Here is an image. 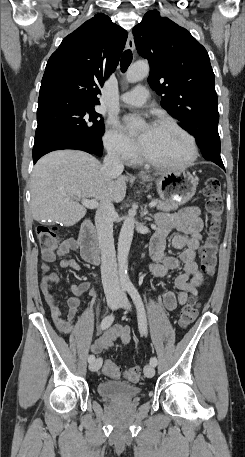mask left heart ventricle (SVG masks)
I'll list each match as a JSON object with an SVG mask.
<instances>
[{
  "instance_id": "left-heart-ventricle-1",
  "label": "left heart ventricle",
  "mask_w": 245,
  "mask_h": 457,
  "mask_svg": "<svg viewBox=\"0 0 245 457\" xmlns=\"http://www.w3.org/2000/svg\"><path fill=\"white\" fill-rule=\"evenodd\" d=\"M146 132L139 139L140 151L143 153L174 164L181 163L188 157V140L179 131L168 127L154 128L144 138Z\"/></svg>"
}]
</instances>
